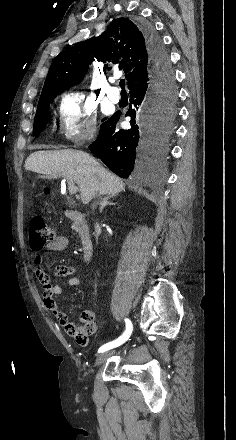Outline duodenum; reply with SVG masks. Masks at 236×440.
<instances>
[{
	"mask_svg": "<svg viewBox=\"0 0 236 440\" xmlns=\"http://www.w3.org/2000/svg\"><path fill=\"white\" fill-rule=\"evenodd\" d=\"M65 216L77 226L83 258L85 260H90L93 255L94 245L86 226L84 214L80 211L67 209L65 211Z\"/></svg>",
	"mask_w": 236,
	"mask_h": 440,
	"instance_id": "1",
	"label": "duodenum"
}]
</instances>
